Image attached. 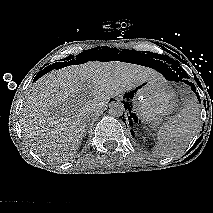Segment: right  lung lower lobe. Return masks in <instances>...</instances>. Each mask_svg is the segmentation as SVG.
Segmentation results:
<instances>
[{
  "label": "right lung lower lobe",
  "mask_w": 213,
  "mask_h": 213,
  "mask_svg": "<svg viewBox=\"0 0 213 213\" xmlns=\"http://www.w3.org/2000/svg\"><path fill=\"white\" fill-rule=\"evenodd\" d=\"M66 65H69L67 62H64V63H55V64H52L48 67H46L44 70L40 71L37 76L35 77V79H38V77L42 76L44 73H47L48 71L54 69V68H59L60 66H66Z\"/></svg>",
  "instance_id": "obj_1"
}]
</instances>
